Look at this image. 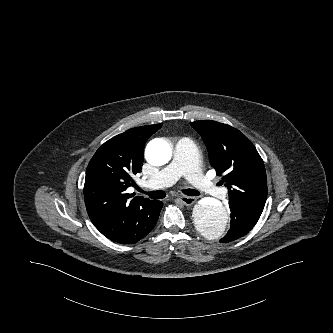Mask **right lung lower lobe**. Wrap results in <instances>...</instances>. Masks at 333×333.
Returning <instances> with one entry per match:
<instances>
[{"instance_id":"1","label":"right lung lower lobe","mask_w":333,"mask_h":333,"mask_svg":"<svg viewBox=\"0 0 333 333\" xmlns=\"http://www.w3.org/2000/svg\"><path fill=\"white\" fill-rule=\"evenodd\" d=\"M163 203L148 201L135 209L122 226L112 235L106 236L112 241L132 244L145 237L155 226Z\"/></svg>"}]
</instances>
